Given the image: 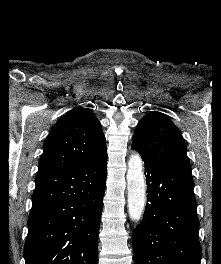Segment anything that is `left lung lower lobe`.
<instances>
[{
	"mask_svg": "<svg viewBox=\"0 0 221 264\" xmlns=\"http://www.w3.org/2000/svg\"><path fill=\"white\" fill-rule=\"evenodd\" d=\"M142 159L148 195L142 222L134 230V264H200L191 171Z\"/></svg>",
	"mask_w": 221,
	"mask_h": 264,
	"instance_id": "1",
	"label": "left lung lower lobe"
}]
</instances>
